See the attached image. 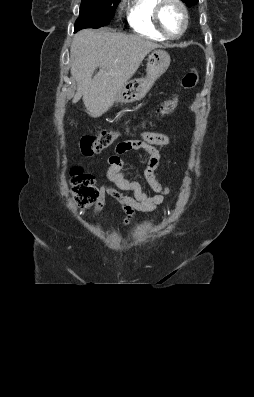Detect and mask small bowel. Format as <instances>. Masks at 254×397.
<instances>
[{"mask_svg":"<svg viewBox=\"0 0 254 397\" xmlns=\"http://www.w3.org/2000/svg\"><path fill=\"white\" fill-rule=\"evenodd\" d=\"M170 144V137L164 133L144 130L141 133V139L126 140L120 142L115 147V153L108 156V169L106 171L107 179L114 184L104 185L99 190V198L92 215H97L103 208L104 197L109 195L114 198L125 212L122 222L116 226L118 230L124 229L129 225L137 212H152L160 205L171 189L163 186L155 176V170L160 162V153L156 146H167ZM142 150L149 155L147 167L144 170V178L150 188L156 193L154 196H148L143 192L139 182L126 179L121 170L124 162L120 155L126 152ZM124 191L132 192L128 196Z\"/></svg>","mask_w":254,"mask_h":397,"instance_id":"small-bowel-1","label":"small bowel"}]
</instances>
